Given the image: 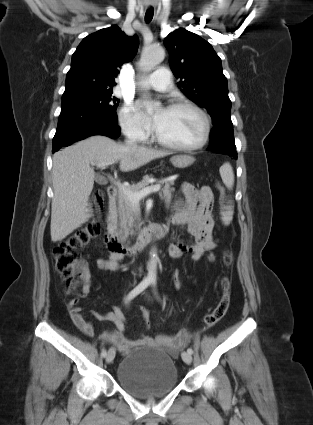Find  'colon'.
Listing matches in <instances>:
<instances>
[{
  "label": "colon",
  "mask_w": 313,
  "mask_h": 425,
  "mask_svg": "<svg viewBox=\"0 0 313 425\" xmlns=\"http://www.w3.org/2000/svg\"><path fill=\"white\" fill-rule=\"evenodd\" d=\"M220 198L223 202L225 199V190L218 184ZM94 200L97 206L102 205L103 194L101 191L94 193ZM100 232V222L98 219H92L84 226L72 232L59 244L53 248V256L57 272L63 277L65 281V290L69 294H79L81 284L87 278L86 262L81 258L80 251L86 247ZM210 262L216 259L215 254L210 250L207 255ZM223 263L229 266L232 262V252L226 250L222 257ZM172 284L175 289H181L184 286V279L178 271L172 275ZM221 297L217 306L205 315L204 322L208 327L217 324L227 313L230 305L231 298V282L226 276H223L220 281ZM70 306L76 305L75 299L71 300ZM144 322L149 325V313L144 312Z\"/></svg>",
  "instance_id": "1"
}]
</instances>
